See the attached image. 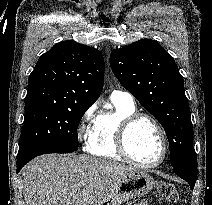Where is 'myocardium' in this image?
<instances>
[{
    "mask_svg": "<svg viewBox=\"0 0 212 205\" xmlns=\"http://www.w3.org/2000/svg\"><path fill=\"white\" fill-rule=\"evenodd\" d=\"M141 119H146L150 121L153 126L156 128L160 140H161V145H162V151L160 157L153 162H141L135 159L129 152L128 147H127V135L130 130V128L138 121ZM115 143H116V148L119 154L127 161L130 163L137 165L139 167H144V168H151V167H156L160 165L167 156L168 153V143H167V138L166 134L164 132L163 127L161 124L158 122V120L153 117L152 115H149L147 113H142V112H134L125 118H123L116 130V136H115Z\"/></svg>",
    "mask_w": 212,
    "mask_h": 205,
    "instance_id": "1",
    "label": "myocardium"
}]
</instances>
